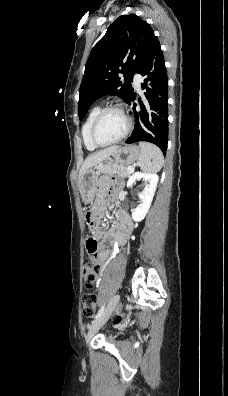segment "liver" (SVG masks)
<instances>
[{
  "label": "liver",
  "instance_id": "1",
  "mask_svg": "<svg viewBox=\"0 0 228 396\" xmlns=\"http://www.w3.org/2000/svg\"><path fill=\"white\" fill-rule=\"evenodd\" d=\"M119 148V146H111L108 148H105L103 150H100L98 152H95L91 155H89L81 169H80V175L87 169L92 168L93 166H96L97 164H99L100 162L106 160L109 156H111L117 149ZM79 175V176H80Z\"/></svg>",
  "mask_w": 228,
  "mask_h": 396
}]
</instances>
